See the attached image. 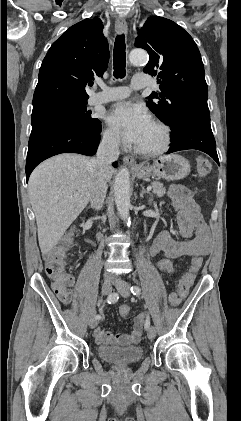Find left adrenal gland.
<instances>
[{"mask_svg":"<svg viewBox=\"0 0 241 421\" xmlns=\"http://www.w3.org/2000/svg\"><path fill=\"white\" fill-rule=\"evenodd\" d=\"M141 188H142V190H141V192H140V198H143V196H144V194H148L149 195V204L151 203V201H152V195L149 193V192H147L146 190H145V188H144V186L143 185H141Z\"/></svg>","mask_w":241,"mask_h":421,"instance_id":"a2214340","label":"left adrenal gland"}]
</instances>
